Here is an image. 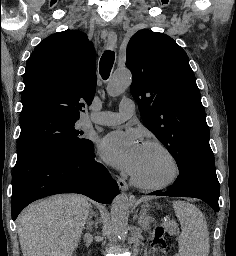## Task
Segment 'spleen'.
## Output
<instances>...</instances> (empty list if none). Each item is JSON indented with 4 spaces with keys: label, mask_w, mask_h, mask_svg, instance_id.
I'll list each match as a JSON object with an SVG mask.
<instances>
[{
    "label": "spleen",
    "mask_w": 236,
    "mask_h": 256,
    "mask_svg": "<svg viewBox=\"0 0 236 256\" xmlns=\"http://www.w3.org/2000/svg\"><path fill=\"white\" fill-rule=\"evenodd\" d=\"M175 216L181 224L177 256H209V232L202 212L189 202H173Z\"/></svg>",
    "instance_id": "obj_1"
}]
</instances>
